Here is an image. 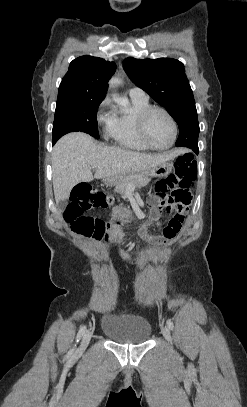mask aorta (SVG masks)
<instances>
[{"mask_svg":"<svg viewBox=\"0 0 247 407\" xmlns=\"http://www.w3.org/2000/svg\"><path fill=\"white\" fill-rule=\"evenodd\" d=\"M117 82H118L117 79H112L111 80V84H115ZM113 99H114L115 102H120L121 101V98H119L117 95H113Z\"/></svg>","mask_w":247,"mask_h":407,"instance_id":"762f6f07","label":"aorta"}]
</instances>
